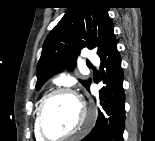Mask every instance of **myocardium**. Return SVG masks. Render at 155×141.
<instances>
[{
	"mask_svg": "<svg viewBox=\"0 0 155 141\" xmlns=\"http://www.w3.org/2000/svg\"><path fill=\"white\" fill-rule=\"evenodd\" d=\"M60 94H64V95H69L71 97H73L80 105V107L82 108V112H83V119L81 121V123L79 124V126L77 128H75L73 131L66 133L64 135H61L59 137H50L44 127H43V123H42V118H43V112L45 109L46 104L48 103V101L55 95H60ZM35 122H36V129L38 134L40 135V137L42 139H46V140H65L71 137L76 136L77 134L83 132L85 129H87L92 122V115L89 112L86 103L82 100V98L80 96H78L73 90L66 88V87H59L56 89L51 90L50 92H48L41 100L39 107L37 109V113H36V118H35Z\"/></svg>",
	"mask_w": 155,
	"mask_h": 141,
	"instance_id": "1",
	"label": "myocardium"
}]
</instances>
